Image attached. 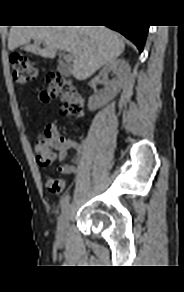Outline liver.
I'll list each match as a JSON object with an SVG mask.
<instances>
[{
	"label": "liver",
	"instance_id": "obj_1",
	"mask_svg": "<svg viewBox=\"0 0 184 292\" xmlns=\"http://www.w3.org/2000/svg\"><path fill=\"white\" fill-rule=\"evenodd\" d=\"M33 39L44 48L30 44ZM25 45V50L53 59L58 49L72 55V74L85 80L124 51L123 38L105 26H13L8 48Z\"/></svg>",
	"mask_w": 184,
	"mask_h": 292
}]
</instances>
